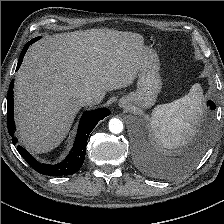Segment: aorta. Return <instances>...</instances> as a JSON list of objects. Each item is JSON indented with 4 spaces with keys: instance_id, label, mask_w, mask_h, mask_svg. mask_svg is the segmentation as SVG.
Here are the masks:
<instances>
[{
    "instance_id": "762f6f07",
    "label": "aorta",
    "mask_w": 224,
    "mask_h": 224,
    "mask_svg": "<svg viewBox=\"0 0 224 224\" xmlns=\"http://www.w3.org/2000/svg\"><path fill=\"white\" fill-rule=\"evenodd\" d=\"M109 130L114 134H119L123 131V123L117 118H112L109 121Z\"/></svg>"
}]
</instances>
